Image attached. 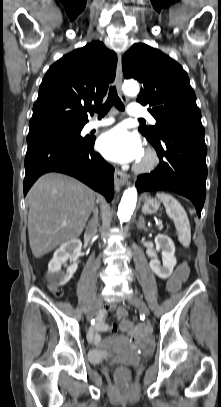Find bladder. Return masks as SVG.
<instances>
[{"label": "bladder", "instance_id": "bladder-1", "mask_svg": "<svg viewBox=\"0 0 221 407\" xmlns=\"http://www.w3.org/2000/svg\"><path fill=\"white\" fill-rule=\"evenodd\" d=\"M114 339L109 340L108 343L113 342ZM113 354V350L108 347V346H103L100 348H94L91 350L90 352V357H91V361L94 363H99L102 362L106 359H108L109 357H111Z\"/></svg>", "mask_w": 221, "mask_h": 407}]
</instances>
